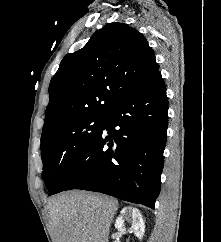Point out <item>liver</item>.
<instances>
[{
  "label": "liver",
  "instance_id": "liver-1",
  "mask_svg": "<svg viewBox=\"0 0 221 242\" xmlns=\"http://www.w3.org/2000/svg\"><path fill=\"white\" fill-rule=\"evenodd\" d=\"M118 209L116 199L68 191L47 204L53 242H108L111 222Z\"/></svg>",
  "mask_w": 221,
  "mask_h": 242
}]
</instances>
